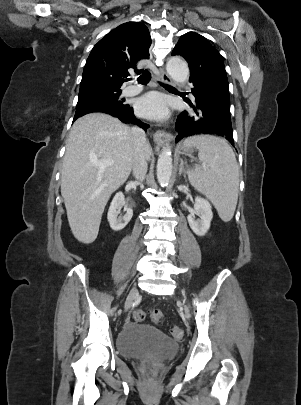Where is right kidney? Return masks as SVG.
<instances>
[{
    "label": "right kidney",
    "mask_w": 301,
    "mask_h": 405,
    "mask_svg": "<svg viewBox=\"0 0 301 405\" xmlns=\"http://www.w3.org/2000/svg\"><path fill=\"white\" fill-rule=\"evenodd\" d=\"M123 206H125L124 194L122 192H118L116 193L110 204L107 215L110 227L114 231L122 230L128 224V222L131 220L133 216V210L125 206L124 209L126 211V214L123 217L118 218L117 216L120 213V210Z\"/></svg>",
    "instance_id": "ca27d5eb"
}]
</instances>
